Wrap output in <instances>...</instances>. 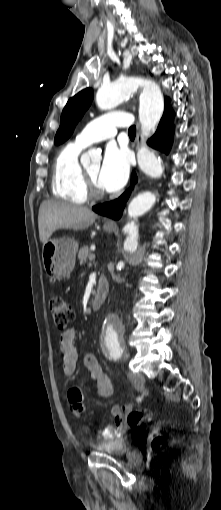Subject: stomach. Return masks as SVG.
I'll return each instance as SVG.
<instances>
[{"label": "stomach", "instance_id": "obj_1", "mask_svg": "<svg viewBox=\"0 0 221 510\" xmlns=\"http://www.w3.org/2000/svg\"><path fill=\"white\" fill-rule=\"evenodd\" d=\"M104 229L108 233L115 231L114 227L104 226ZM78 246L71 238L52 239L43 244L42 261L51 281H60L71 274Z\"/></svg>", "mask_w": 221, "mask_h": 510}]
</instances>
